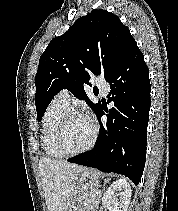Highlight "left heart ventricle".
Instances as JSON below:
<instances>
[{"mask_svg": "<svg viewBox=\"0 0 178 211\" xmlns=\"http://www.w3.org/2000/svg\"><path fill=\"white\" fill-rule=\"evenodd\" d=\"M92 136L90 121L83 116H73L63 137V147L67 151H78L88 144Z\"/></svg>", "mask_w": 178, "mask_h": 211, "instance_id": "left-heart-ventricle-1", "label": "left heart ventricle"}]
</instances>
